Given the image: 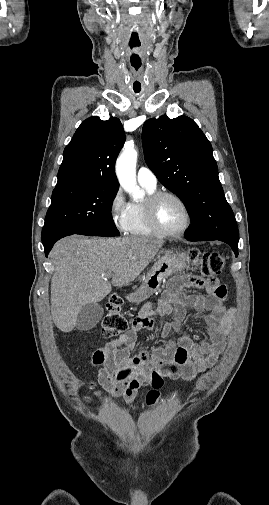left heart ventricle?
Returning <instances> with one entry per match:
<instances>
[{"label":"left heart ventricle","instance_id":"1","mask_svg":"<svg viewBox=\"0 0 269 505\" xmlns=\"http://www.w3.org/2000/svg\"><path fill=\"white\" fill-rule=\"evenodd\" d=\"M156 217L159 225L167 231L181 229L186 223L183 207L174 199L163 198L157 205Z\"/></svg>","mask_w":269,"mask_h":505}]
</instances>
